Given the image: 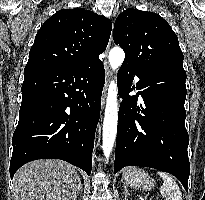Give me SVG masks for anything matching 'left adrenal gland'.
I'll return each instance as SVG.
<instances>
[{"label": "left adrenal gland", "mask_w": 205, "mask_h": 200, "mask_svg": "<svg viewBox=\"0 0 205 200\" xmlns=\"http://www.w3.org/2000/svg\"><path fill=\"white\" fill-rule=\"evenodd\" d=\"M124 195H125V199L124 200H128V197L130 196V193L128 192L127 187H125V189H124Z\"/></svg>", "instance_id": "obj_1"}]
</instances>
